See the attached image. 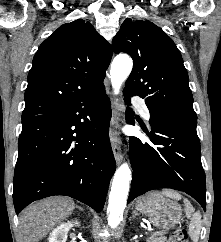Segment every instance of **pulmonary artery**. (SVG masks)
Wrapping results in <instances>:
<instances>
[{"instance_id": "pulmonary-artery-1", "label": "pulmonary artery", "mask_w": 221, "mask_h": 242, "mask_svg": "<svg viewBox=\"0 0 221 242\" xmlns=\"http://www.w3.org/2000/svg\"><path fill=\"white\" fill-rule=\"evenodd\" d=\"M134 104L137 106V108L140 110L142 116L146 120H150V112L146 104L141 99H135Z\"/></svg>"}]
</instances>
